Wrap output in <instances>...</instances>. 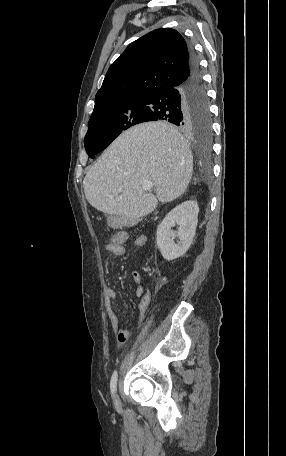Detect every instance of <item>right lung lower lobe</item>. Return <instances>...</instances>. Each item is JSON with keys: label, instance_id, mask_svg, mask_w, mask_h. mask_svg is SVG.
Returning <instances> with one entry per match:
<instances>
[{"label": "right lung lower lobe", "instance_id": "right-lung-lower-lobe-1", "mask_svg": "<svg viewBox=\"0 0 286 456\" xmlns=\"http://www.w3.org/2000/svg\"><path fill=\"white\" fill-rule=\"evenodd\" d=\"M189 49L187 78L142 97L146 107L144 122L165 120L189 130V127L202 123L210 115L199 62L193 49Z\"/></svg>", "mask_w": 286, "mask_h": 456}]
</instances>
